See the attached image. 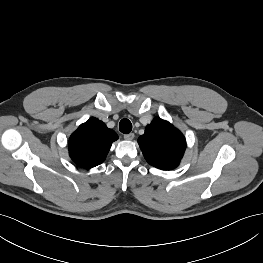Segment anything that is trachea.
<instances>
[{
    "instance_id": "obj_1",
    "label": "trachea",
    "mask_w": 263,
    "mask_h": 263,
    "mask_svg": "<svg viewBox=\"0 0 263 263\" xmlns=\"http://www.w3.org/2000/svg\"><path fill=\"white\" fill-rule=\"evenodd\" d=\"M119 130L124 134H129L132 130V124L129 119H122L119 123Z\"/></svg>"
}]
</instances>
